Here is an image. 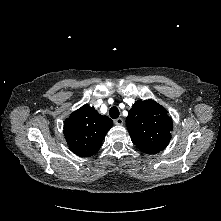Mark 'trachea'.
Instances as JSON below:
<instances>
[{
	"label": "trachea",
	"mask_w": 221,
	"mask_h": 221,
	"mask_svg": "<svg viewBox=\"0 0 221 221\" xmlns=\"http://www.w3.org/2000/svg\"><path fill=\"white\" fill-rule=\"evenodd\" d=\"M119 109L116 106H113L109 110V115L112 119H117L119 117Z\"/></svg>",
	"instance_id": "obj_1"
}]
</instances>
